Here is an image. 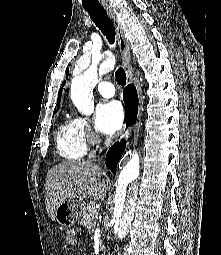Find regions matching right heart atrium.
<instances>
[{
  "label": "right heart atrium",
  "mask_w": 221,
  "mask_h": 255,
  "mask_svg": "<svg viewBox=\"0 0 221 255\" xmlns=\"http://www.w3.org/2000/svg\"><path fill=\"white\" fill-rule=\"evenodd\" d=\"M81 125H82V128H83L85 134H88L90 131V125H89L88 121L81 119Z\"/></svg>",
  "instance_id": "d8ad5b80"
}]
</instances>
